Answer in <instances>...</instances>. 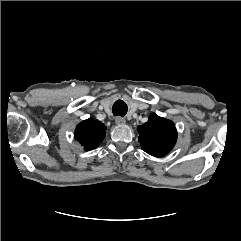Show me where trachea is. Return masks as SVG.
<instances>
[{"label":"trachea","mask_w":241,"mask_h":241,"mask_svg":"<svg viewBox=\"0 0 241 241\" xmlns=\"http://www.w3.org/2000/svg\"><path fill=\"white\" fill-rule=\"evenodd\" d=\"M127 111V105L121 100L116 101L112 107V112L114 115L124 116L126 115Z\"/></svg>","instance_id":"1"}]
</instances>
